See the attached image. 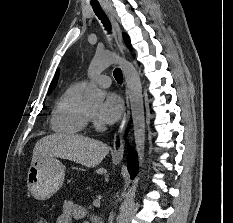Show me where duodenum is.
<instances>
[{
	"instance_id": "duodenum-1",
	"label": "duodenum",
	"mask_w": 233,
	"mask_h": 223,
	"mask_svg": "<svg viewBox=\"0 0 233 223\" xmlns=\"http://www.w3.org/2000/svg\"><path fill=\"white\" fill-rule=\"evenodd\" d=\"M95 223H102L100 220H96Z\"/></svg>"
}]
</instances>
